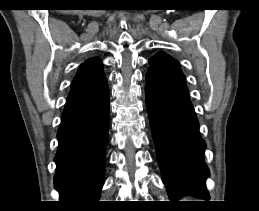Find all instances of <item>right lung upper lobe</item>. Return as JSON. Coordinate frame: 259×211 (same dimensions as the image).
<instances>
[{"instance_id":"right-lung-upper-lobe-1","label":"right lung upper lobe","mask_w":259,"mask_h":211,"mask_svg":"<svg viewBox=\"0 0 259 211\" xmlns=\"http://www.w3.org/2000/svg\"><path fill=\"white\" fill-rule=\"evenodd\" d=\"M107 81L99 58H90L80 65L71 84L68 100L87 95Z\"/></svg>"}]
</instances>
